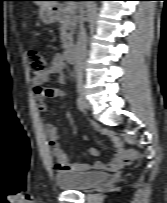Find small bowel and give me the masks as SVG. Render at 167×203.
Instances as JSON below:
<instances>
[{
  "label": "small bowel",
  "mask_w": 167,
  "mask_h": 203,
  "mask_svg": "<svg viewBox=\"0 0 167 203\" xmlns=\"http://www.w3.org/2000/svg\"><path fill=\"white\" fill-rule=\"evenodd\" d=\"M67 69L64 56L57 53L52 58L51 66L45 72L33 76L32 89L37 99V108L40 112L44 113L48 108V105L45 103L46 98L64 97V91L62 89L45 87L44 85L49 81L51 75H57L59 82L63 83L65 81ZM44 129L48 136V145L54 160V168L57 171H88L105 169L113 172L119 170L122 166L127 164L123 160V142L113 131L101 129L97 125L94 126L96 131L107 136L111 142L114 153L108 162L97 161L94 163H75L68 160L67 154L58 143V133L56 127L51 122L45 121ZM90 153L91 155L96 156L98 154V150L96 148H92Z\"/></svg>",
  "instance_id": "small-bowel-1"
}]
</instances>
